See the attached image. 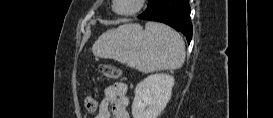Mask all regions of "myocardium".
I'll return each instance as SVG.
<instances>
[{"instance_id": "obj_1", "label": "myocardium", "mask_w": 273, "mask_h": 118, "mask_svg": "<svg viewBox=\"0 0 273 118\" xmlns=\"http://www.w3.org/2000/svg\"><path fill=\"white\" fill-rule=\"evenodd\" d=\"M119 0H114L113 3H112V9L115 13L119 14V15H124V16H129V15H134L136 14L137 12H139L144 3H145V0H135V6L130 9V10H127V11H120L117 9V4H118Z\"/></svg>"}]
</instances>
